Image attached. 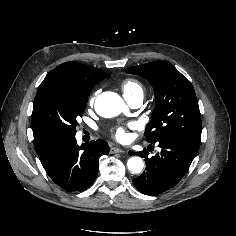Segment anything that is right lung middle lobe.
<instances>
[{"label": "right lung middle lobe", "mask_w": 236, "mask_h": 236, "mask_svg": "<svg viewBox=\"0 0 236 236\" xmlns=\"http://www.w3.org/2000/svg\"><path fill=\"white\" fill-rule=\"evenodd\" d=\"M90 92L61 80H43L33 104V136H74Z\"/></svg>", "instance_id": "dd1d6c3e"}]
</instances>
